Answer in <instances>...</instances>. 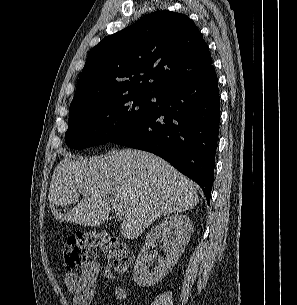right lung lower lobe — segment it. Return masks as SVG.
Instances as JSON below:
<instances>
[{
  "mask_svg": "<svg viewBox=\"0 0 297 305\" xmlns=\"http://www.w3.org/2000/svg\"><path fill=\"white\" fill-rule=\"evenodd\" d=\"M155 109L111 142L152 152L202 188L210 202L219 134L220 101L215 71L163 89Z\"/></svg>",
  "mask_w": 297,
  "mask_h": 305,
  "instance_id": "obj_1",
  "label": "right lung lower lobe"
}]
</instances>
